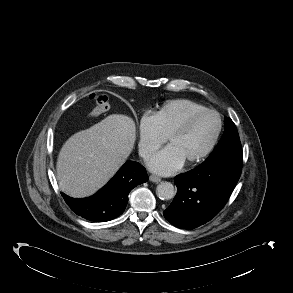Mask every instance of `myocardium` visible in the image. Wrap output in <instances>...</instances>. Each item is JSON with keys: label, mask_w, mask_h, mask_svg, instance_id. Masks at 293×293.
<instances>
[{"label": "myocardium", "mask_w": 293, "mask_h": 293, "mask_svg": "<svg viewBox=\"0 0 293 293\" xmlns=\"http://www.w3.org/2000/svg\"><path fill=\"white\" fill-rule=\"evenodd\" d=\"M205 114H212L217 118L218 125H217L216 133H215L213 139L211 140L210 144L205 148V150L203 152H201L196 157L190 159L189 161L185 162V164L187 166H193V165H196V164L202 162L214 150V148L216 147V145L219 141V138L221 136L222 129H223V121H222L221 115L216 110L207 109V108L204 110L195 112V113L191 114L190 116H188L177 128H175L167 136V142H169L172 138L184 134L190 128V126L194 123V121L196 119H198L199 117H201L202 115H205Z\"/></svg>", "instance_id": "f54148a6"}]
</instances>
